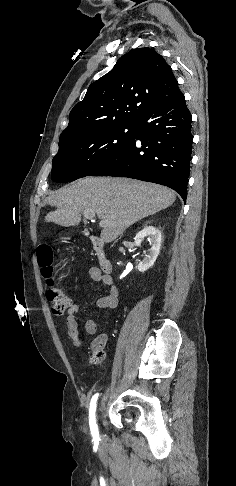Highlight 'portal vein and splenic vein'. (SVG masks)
Wrapping results in <instances>:
<instances>
[{
  "label": "portal vein and splenic vein",
  "instance_id": "obj_1",
  "mask_svg": "<svg viewBox=\"0 0 236 486\" xmlns=\"http://www.w3.org/2000/svg\"><path fill=\"white\" fill-rule=\"evenodd\" d=\"M84 216L87 219H93L95 217V213L92 210H85L84 211ZM100 226L101 227H104L105 226V222H100Z\"/></svg>",
  "mask_w": 236,
  "mask_h": 486
}]
</instances>
